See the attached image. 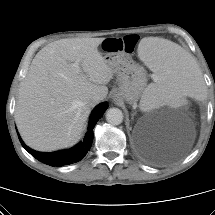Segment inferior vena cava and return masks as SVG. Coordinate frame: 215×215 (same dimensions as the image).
Instances as JSON below:
<instances>
[{"instance_id": "inferior-vena-cava-1", "label": "inferior vena cava", "mask_w": 215, "mask_h": 215, "mask_svg": "<svg viewBox=\"0 0 215 215\" xmlns=\"http://www.w3.org/2000/svg\"><path fill=\"white\" fill-rule=\"evenodd\" d=\"M101 100H103V97L101 95H94V96H92V98L90 100V105L94 106L95 104H97Z\"/></svg>"}]
</instances>
